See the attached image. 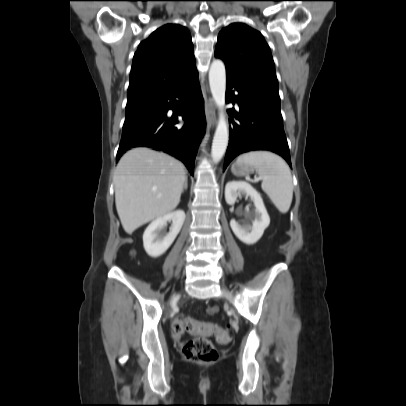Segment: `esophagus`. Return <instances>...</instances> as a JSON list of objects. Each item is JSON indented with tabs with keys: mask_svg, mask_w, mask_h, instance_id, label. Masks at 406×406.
<instances>
[{
	"mask_svg": "<svg viewBox=\"0 0 406 406\" xmlns=\"http://www.w3.org/2000/svg\"><path fill=\"white\" fill-rule=\"evenodd\" d=\"M205 114L207 120V129L214 127L216 123V112L214 107V100L213 98H208L206 105H205Z\"/></svg>",
	"mask_w": 406,
	"mask_h": 406,
	"instance_id": "esophagus-1",
	"label": "esophagus"
}]
</instances>
